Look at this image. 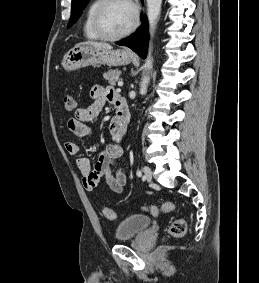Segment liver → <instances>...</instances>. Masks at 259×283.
Listing matches in <instances>:
<instances>
[{
  "mask_svg": "<svg viewBox=\"0 0 259 283\" xmlns=\"http://www.w3.org/2000/svg\"><path fill=\"white\" fill-rule=\"evenodd\" d=\"M82 45H89V46L103 48V49H112V46L108 43L95 42V41H87V42L79 43L76 45V47H79Z\"/></svg>",
  "mask_w": 259,
  "mask_h": 283,
  "instance_id": "liver-1",
  "label": "liver"
}]
</instances>
